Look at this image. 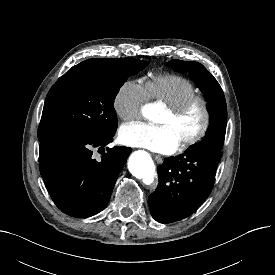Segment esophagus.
Listing matches in <instances>:
<instances>
[{"label": "esophagus", "mask_w": 275, "mask_h": 275, "mask_svg": "<svg viewBox=\"0 0 275 275\" xmlns=\"http://www.w3.org/2000/svg\"><path fill=\"white\" fill-rule=\"evenodd\" d=\"M153 157L157 163L161 164L163 162V158L160 155L154 154Z\"/></svg>", "instance_id": "obj_1"}]
</instances>
